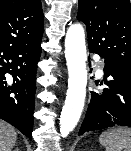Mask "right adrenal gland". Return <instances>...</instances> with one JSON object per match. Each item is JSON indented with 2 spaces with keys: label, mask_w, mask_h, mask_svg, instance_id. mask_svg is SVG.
<instances>
[{
  "label": "right adrenal gland",
  "mask_w": 131,
  "mask_h": 151,
  "mask_svg": "<svg viewBox=\"0 0 131 151\" xmlns=\"http://www.w3.org/2000/svg\"><path fill=\"white\" fill-rule=\"evenodd\" d=\"M14 151H19V149H18V148H16V149H14Z\"/></svg>",
  "instance_id": "right-adrenal-gland-1"
}]
</instances>
